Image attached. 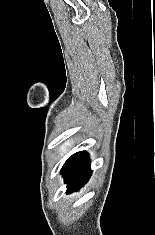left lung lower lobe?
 Instances as JSON below:
<instances>
[{
    "mask_svg": "<svg viewBox=\"0 0 155 235\" xmlns=\"http://www.w3.org/2000/svg\"><path fill=\"white\" fill-rule=\"evenodd\" d=\"M67 183V192L79 190L91 176L90 159L85 151L73 154L61 169Z\"/></svg>",
    "mask_w": 155,
    "mask_h": 235,
    "instance_id": "1",
    "label": "left lung lower lobe"
}]
</instances>
